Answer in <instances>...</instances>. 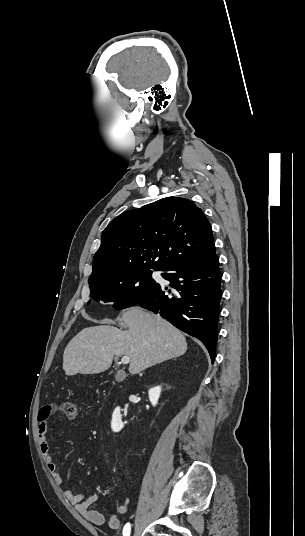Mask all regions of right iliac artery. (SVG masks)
<instances>
[{
    "label": "right iliac artery",
    "instance_id": "right-iliac-artery-1",
    "mask_svg": "<svg viewBox=\"0 0 305 536\" xmlns=\"http://www.w3.org/2000/svg\"><path fill=\"white\" fill-rule=\"evenodd\" d=\"M130 530H131L130 523H127L123 528V536H129Z\"/></svg>",
    "mask_w": 305,
    "mask_h": 536
}]
</instances>
